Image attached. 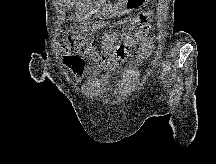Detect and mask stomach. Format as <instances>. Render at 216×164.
I'll return each mask as SVG.
<instances>
[{
    "label": "stomach",
    "instance_id": "obj_1",
    "mask_svg": "<svg viewBox=\"0 0 216 164\" xmlns=\"http://www.w3.org/2000/svg\"><path fill=\"white\" fill-rule=\"evenodd\" d=\"M149 0H118L116 7H104V9H90V14H107L113 20H127L132 17L131 10L144 7ZM114 11V12H112Z\"/></svg>",
    "mask_w": 216,
    "mask_h": 164
}]
</instances>
